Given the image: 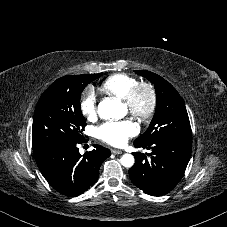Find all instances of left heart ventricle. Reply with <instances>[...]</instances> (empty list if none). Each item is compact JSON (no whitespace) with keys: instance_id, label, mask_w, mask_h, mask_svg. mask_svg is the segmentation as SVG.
Listing matches in <instances>:
<instances>
[{"instance_id":"1","label":"left heart ventricle","mask_w":227,"mask_h":227,"mask_svg":"<svg viewBox=\"0 0 227 227\" xmlns=\"http://www.w3.org/2000/svg\"><path fill=\"white\" fill-rule=\"evenodd\" d=\"M147 103H148V97L145 93H142L140 97V105L142 107H146ZM123 109L127 110L125 106H123Z\"/></svg>"}]
</instances>
